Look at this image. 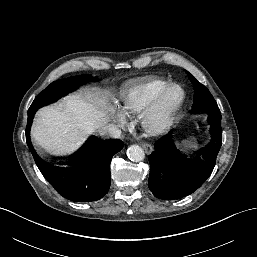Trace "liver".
<instances>
[{"instance_id":"obj_1","label":"liver","mask_w":257,"mask_h":257,"mask_svg":"<svg viewBox=\"0 0 257 257\" xmlns=\"http://www.w3.org/2000/svg\"><path fill=\"white\" fill-rule=\"evenodd\" d=\"M106 104V97L90 91L69 96L59 104L38 111L32 136L50 154H69L105 119L100 107Z\"/></svg>"}]
</instances>
